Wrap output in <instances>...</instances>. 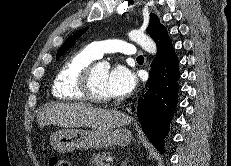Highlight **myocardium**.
<instances>
[{"mask_svg":"<svg viewBox=\"0 0 231 166\" xmlns=\"http://www.w3.org/2000/svg\"><path fill=\"white\" fill-rule=\"evenodd\" d=\"M96 62L89 64L82 72L79 87L85 99L93 102L107 103L111 101V98L99 94L94 86V71L97 67Z\"/></svg>","mask_w":231,"mask_h":166,"instance_id":"1","label":"myocardium"}]
</instances>
